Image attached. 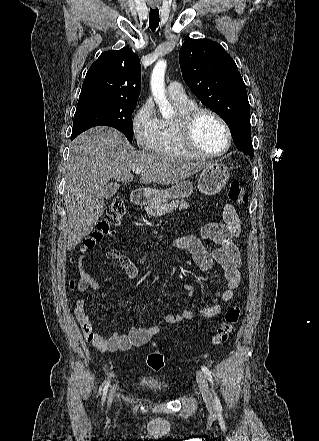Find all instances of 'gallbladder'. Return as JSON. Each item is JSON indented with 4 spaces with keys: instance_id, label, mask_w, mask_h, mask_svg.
Listing matches in <instances>:
<instances>
[{
    "instance_id": "gallbladder-1",
    "label": "gallbladder",
    "mask_w": 319,
    "mask_h": 441,
    "mask_svg": "<svg viewBox=\"0 0 319 441\" xmlns=\"http://www.w3.org/2000/svg\"><path fill=\"white\" fill-rule=\"evenodd\" d=\"M119 189V184L118 183H110L107 185V189H106V193H105V198H111L114 196V194L117 192V190Z\"/></svg>"
}]
</instances>
